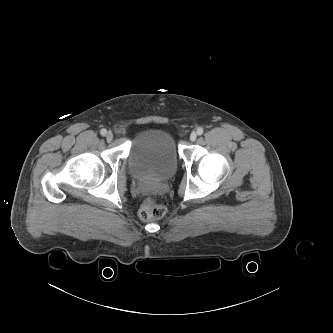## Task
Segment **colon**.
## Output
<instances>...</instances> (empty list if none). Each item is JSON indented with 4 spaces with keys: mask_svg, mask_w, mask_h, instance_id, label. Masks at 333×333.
Segmentation results:
<instances>
[{
    "mask_svg": "<svg viewBox=\"0 0 333 333\" xmlns=\"http://www.w3.org/2000/svg\"><path fill=\"white\" fill-rule=\"evenodd\" d=\"M166 213V207L158 203L152 196H148L142 203L139 216L144 221L158 220Z\"/></svg>",
    "mask_w": 333,
    "mask_h": 333,
    "instance_id": "1",
    "label": "colon"
}]
</instances>
